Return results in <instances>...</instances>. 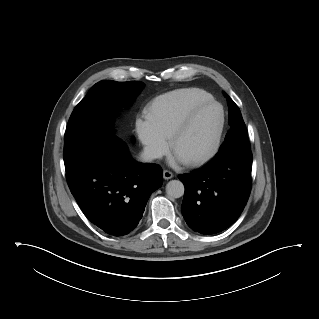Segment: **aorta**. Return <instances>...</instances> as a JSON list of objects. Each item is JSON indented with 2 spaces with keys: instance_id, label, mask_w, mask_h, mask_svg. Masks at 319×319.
<instances>
[{
  "instance_id": "1",
  "label": "aorta",
  "mask_w": 319,
  "mask_h": 319,
  "mask_svg": "<svg viewBox=\"0 0 319 319\" xmlns=\"http://www.w3.org/2000/svg\"><path fill=\"white\" fill-rule=\"evenodd\" d=\"M166 192L171 198H180L184 194V185L179 180H171L166 185Z\"/></svg>"
}]
</instances>
